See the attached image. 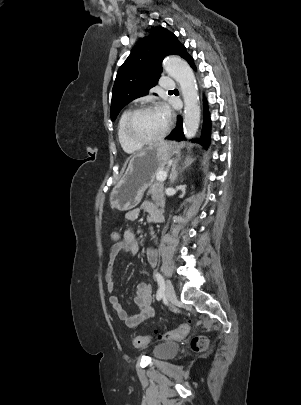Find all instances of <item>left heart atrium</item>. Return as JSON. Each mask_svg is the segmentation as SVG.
I'll return each mask as SVG.
<instances>
[{
  "instance_id": "1",
  "label": "left heart atrium",
  "mask_w": 301,
  "mask_h": 405,
  "mask_svg": "<svg viewBox=\"0 0 301 405\" xmlns=\"http://www.w3.org/2000/svg\"><path fill=\"white\" fill-rule=\"evenodd\" d=\"M157 111L161 114V115H163L166 119H168V117H169V115H170V111H169V109H168V107L166 106V105H160L158 108H157Z\"/></svg>"
}]
</instances>
